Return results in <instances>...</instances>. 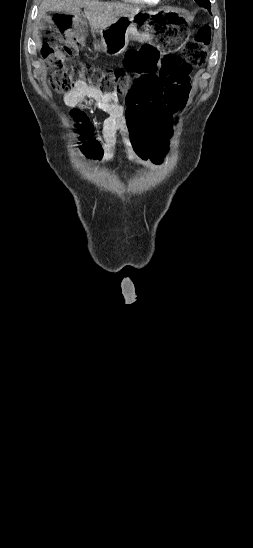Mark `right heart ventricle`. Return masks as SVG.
Returning <instances> with one entry per match:
<instances>
[{
  "label": "right heart ventricle",
  "mask_w": 253,
  "mask_h": 548,
  "mask_svg": "<svg viewBox=\"0 0 253 548\" xmlns=\"http://www.w3.org/2000/svg\"><path fill=\"white\" fill-rule=\"evenodd\" d=\"M123 1L134 3V4H140V5H156L160 2V0H123Z\"/></svg>",
  "instance_id": "e07e8e85"
}]
</instances>
